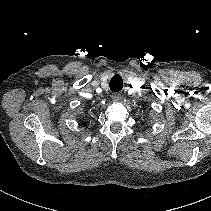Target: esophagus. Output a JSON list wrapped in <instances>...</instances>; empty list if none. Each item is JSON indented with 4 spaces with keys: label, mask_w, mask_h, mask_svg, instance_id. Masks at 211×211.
<instances>
[{
    "label": "esophagus",
    "mask_w": 211,
    "mask_h": 211,
    "mask_svg": "<svg viewBox=\"0 0 211 211\" xmlns=\"http://www.w3.org/2000/svg\"><path fill=\"white\" fill-rule=\"evenodd\" d=\"M121 99V95L119 93H115L112 95V100L114 102H118Z\"/></svg>",
    "instance_id": "obj_1"
}]
</instances>
